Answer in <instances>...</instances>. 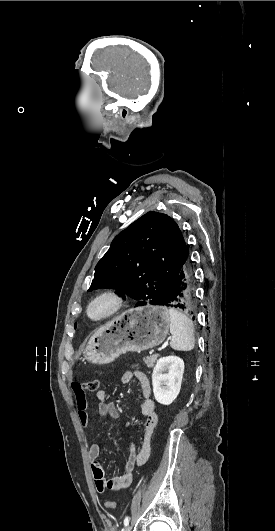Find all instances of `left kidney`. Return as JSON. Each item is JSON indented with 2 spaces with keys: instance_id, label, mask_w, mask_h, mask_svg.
Masks as SVG:
<instances>
[{
  "instance_id": "5707ae66",
  "label": "left kidney",
  "mask_w": 275,
  "mask_h": 531,
  "mask_svg": "<svg viewBox=\"0 0 275 531\" xmlns=\"http://www.w3.org/2000/svg\"><path fill=\"white\" fill-rule=\"evenodd\" d=\"M184 373L180 357H161L152 373L153 393L157 403L171 405L178 397ZM165 385V387H163Z\"/></svg>"
}]
</instances>
